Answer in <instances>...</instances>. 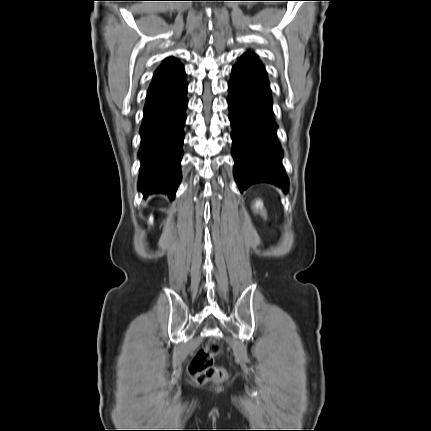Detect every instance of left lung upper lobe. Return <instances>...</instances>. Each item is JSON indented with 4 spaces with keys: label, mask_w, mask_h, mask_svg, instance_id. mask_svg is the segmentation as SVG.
Returning <instances> with one entry per match:
<instances>
[{
    "label": "left lung upper lobe",
    "mask_w": 431,
    "mask_h": 431,
    "mask_svg": "<svg viewBox=\"0 0 431 431\" xmlns=\"http://www.w3.org/2000/svg\"><path fill=\"white\" fill-rule=\"evenodd\" d=\"M239 64H243V63H252V64H257V65H262L255 57V55L253 53L250 52H246L245 54H243L240 59H239Z\"/></svg>",
    "instance_id": "1"
}]
</instances>
